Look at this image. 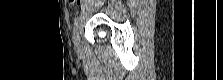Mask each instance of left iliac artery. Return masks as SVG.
<instances>
[{"label":"left iliac artery","instance_id":"obj_1","mask_svg":"<svg viewBox=\"0 0 223 80\" xmlns=\"http://www.w3.org/2000/svg\"><path fill=\"white\" fill-rule=\"evenodd\" d=\"M79 21H80V17H76L74 20L73 33H76L78 31Z\"/></svg>","mask_w":223,"mask_h":80}]
</instances>
